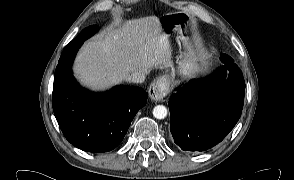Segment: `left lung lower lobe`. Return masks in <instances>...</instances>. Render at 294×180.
I'll list each match as a JSON object with an SVG mask.
<instances>
[{"label": "left lung lower lobe", "instance_id": "0a47b994", "mask_svg": "<svg viewBox=\"0 0 294 180\" xmlns=\"http://www.w3.org/2000/svg\"><path fill=\"white\" fill-rule=\"evenodd\" d=\"M211 76L191 80L169 100L171 134L184 151H205L233 129L241 116L245 81L228 55ZM226 69L229 73H226Z\"/></svg>", "mask_w": 294, "mask_h": 180}]
</instances>
